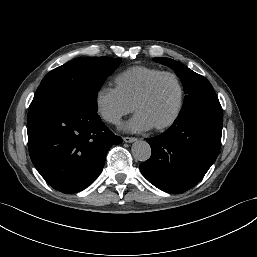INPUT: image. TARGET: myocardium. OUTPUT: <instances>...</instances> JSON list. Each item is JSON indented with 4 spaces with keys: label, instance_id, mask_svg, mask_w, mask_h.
Listing matches in <instances>:
<instances>
[{
    "label": "myocardium",
    "instance_id": "myocardium-1",
    "mask_svg": "<svg viewBox=\"0 0 257 257\" xmlns=\"http://www.w3.org/2000/svg\"><path fill=\"white\" fill-rule=\"evenodd\" d=\"M171 77L175 80L177 87H178V102L176 105V108L173 112V114L171 115V117L166 120L165 122L158 124L156 126H154V129L156 130H164L166 128H169L170 126H172L177 119L179 118L183 106H184V101H185V89H184V85L182 83V80L180 79V77L175 74L174 72H169V71H163L161 73H159L158 75H156L154 78H152L147 85L143 88V90L140 92V94L137 96V98L135 99L134 103H133V109L134 111H136V107L139 103H141L142 101H144L146 98H148V96L151 94L154 86L156 85V83L163 77Z\"/></svg>",
    "mask_w": 257,
    "mask_h": 257
}]
</instances>
